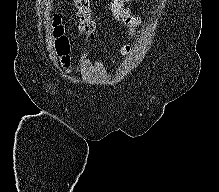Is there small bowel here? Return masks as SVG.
Wrapping results in <instances>:
<instances>
[{"mask_svg": "<svg viewBox=\"0 0 219 192\" xmlns=\"http://www.w3.org/2000/svg\"><path fill=\"white\" fill-rule=\"evenodd\" d=\"M132 1L133 0H111L110 8L114 17L118 21L124 23L130 29L131 32H134L135 28L140 24V20L127 7V4ZM76 16L80 20V28L87 33H91L94 27L86 30L83 25L84 19L91 18V14L88 7L82 8L76 5Z\"/></svg>", "mask_w": 219, "mask_h": 192, "instance_id": "obj_1", "label": "small bowel"}]
</instances>
